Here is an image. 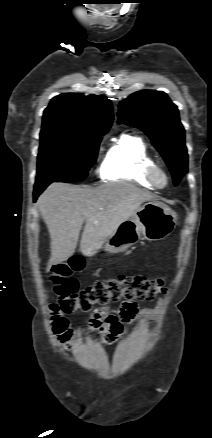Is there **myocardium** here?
Listing matches in <instances>:
<instances>
[{"instance_id":"obj_1","label":"myocardium","mask_w":212,"mask_h":438,"mask_svg":"<svg viewBox=\"0 0 212 438\" xmlns=\"http://www.w3.org/2000/svg\"><path fill=\"white\" fill-rule=\"evenodd\" d=\"M159 174H162L165 178L164 184H159L157 182V176ZM145 178L154 186L156 189H164L169 185L170 182V175L167 171V169L158 163H152L150 164L144 172Z\"/></svg>"}]
</instances>
